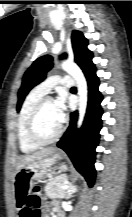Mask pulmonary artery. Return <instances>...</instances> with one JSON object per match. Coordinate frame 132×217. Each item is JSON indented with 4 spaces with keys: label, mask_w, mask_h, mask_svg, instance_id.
Returning <instances> with one entry per match:
<instances>
[{
    "label": "pulmonary artery",
    "mask_w": 132,
    "mask_h": 217,
    "mask_svg": "<svg viewBox=\"0 0 132 217\" xmlns=\"http://www.w3.org/2000/svg\"><path fill=\"white\" fill-rule=\"evenodd\" d=\"M59 84L66 87H71L73 85V80L70 77H60L57 75L50 76L41 82L36 88H38L44 94H47L52 88Z\"/></svg>",
    "instance_id": "pulmonary-artery-1"
}]
</instances>
